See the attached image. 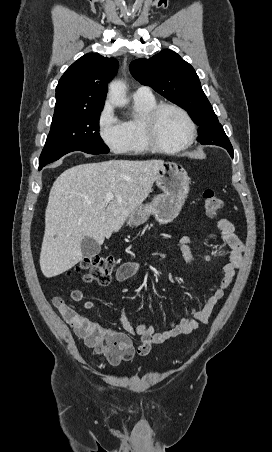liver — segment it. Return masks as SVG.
I'll return each instance as SVG.
<instances>
[{
    "instance_id": "liver-1",
    "label": "liver",
    "mask_w": 272,
    "mask_h": 452,
    "mask_svg": "<svg viewBox=\"0 0 272 452\" xmlns=\"http://www.w3.org/2000/svg\"><path fill=\"white\" fill-rule=\"evenodd\" d=\"M162 160H109L73 166L55 180L45 211L40 253L43 275L51 278L82 260L88 236L101 245L119 231L128 215L148 197ZM115 198L107 206L105 194Z\"/></svg>"
}]
</instances>
